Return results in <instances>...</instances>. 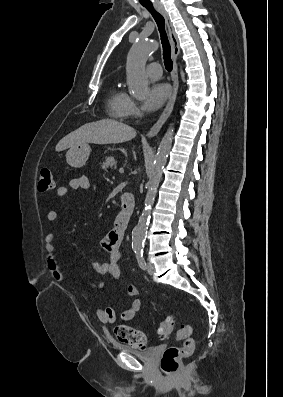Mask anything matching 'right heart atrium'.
Returning <instances> with one entry per match:
<instances>
[{
  "label": "right heart atrium",
  "mask_w": 283,
  "mask_h": 397,
  "mask_svg": "<svg viewBox=\"0 0 283 397\" xmlns=\"http://www.w3.org/2000/svg\"><path fill=\"white\" fill-rule=\"evenodd\" d=\"M140 114V109L138 104L132 99L128 98L124 107V117L134 118Z\"/></svg>",
  "instance_id": "d8ad5b80"
}]
</instances>
